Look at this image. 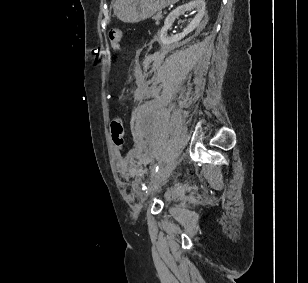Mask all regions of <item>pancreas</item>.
I'll list each match as a JSON object with an SVG mask.
<instances>
[{"mask_svg": "<svg viewBox=\"0 0 308 283\" xmlns=\"http://www.w3.org/2000/svg\"><path fill=\"white\" fill-rule=\"evenodd\" d=\"M162 18V14L159 12L158 14L153 16V20L156 22V24H159V20Z\"/></svg>", "mask_w": 308, "mask_h": 283, "instance_id": "cf45deb5", "label": "pancreas"}]
</instances>
